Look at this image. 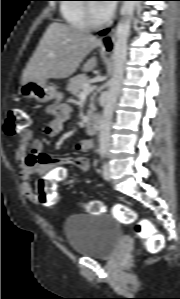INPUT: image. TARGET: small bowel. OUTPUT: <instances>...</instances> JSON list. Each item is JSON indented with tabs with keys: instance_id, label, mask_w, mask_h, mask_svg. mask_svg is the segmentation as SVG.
<instances>
[{
	"instance_id": "small-bowel-1",
	"label": "small bowel",
	"mask_w": 180,
	"mask_h": 299,
	"mask_svg": "<svg viewBox=\"0 0 180 299\" xmlns=\"http://www.w3.org/2000/svg\"><path fill=\"white\" fill-rule=\"evenodd\" d=\"M50 121L46 125L44 132L47 136L58 134L63 124L71 117V107L60 101L50 104L46 108ZM78 149L87 152L93 149L91 139H83L78 144ZM17 163L20 168V177L22 180V190L25 196L33 201H38V193L32 187L31 180L34 177H40L38 188L47 181H60L65 179L70 168L86 172L90 169L88 158H59L51 157L43 152L42 143L34 139L31 130L24 129L21 132L20 139L16 149Z\"/></svg>"
}]
</instances>
